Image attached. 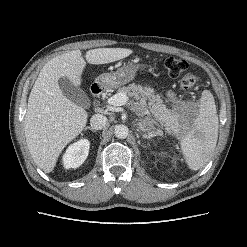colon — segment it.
<instances>
[{
    "instance_id": "colon-1",
    "label": "colon",
    "mask_w": 247,
    "mask_h": 247,
    "mask_svg": "<svg viewBox=\"0 0 247 247\" xmlns=\"http://www.w3.org/2000/svg\"><path fill=\"white\" fill-rule=\"evenodd\" d=\"M167 74L171 78L179 77L188 67L187 62L183 59L168 58L164 62ZM198 82V77L194 74H185L180 80V86L184 90L192 89Z\"/></svg>"
}]
</instances>
